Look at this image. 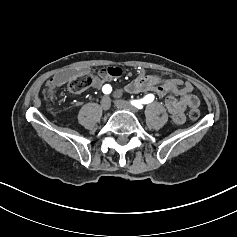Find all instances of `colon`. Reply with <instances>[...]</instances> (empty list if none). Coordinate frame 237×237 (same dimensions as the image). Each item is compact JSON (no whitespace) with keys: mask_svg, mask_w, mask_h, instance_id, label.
<instances>
[{"mask_svg":"<svg viewBox=\"0 0 237 237\" xmlns=\"http://www.w3.org/2000/svg\"><path fill=\"white\" fill-rule=\"evenodd\" d=\"M92 80L93 78L89 74H80L70 81L68 89L72 93H80L91 86ZM52 82L53 81L49 83L50 90L53 86ZM189 116L192 120H197L200 116V112L197 108H192L189 112Z\"/></svg>","mask_w":237,"mask_h":237,"instance_id":"colon-1","label":"colon"}]
</instances>
